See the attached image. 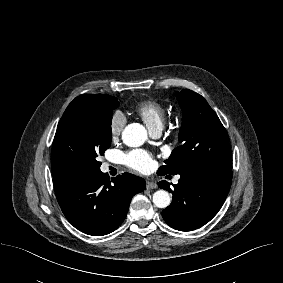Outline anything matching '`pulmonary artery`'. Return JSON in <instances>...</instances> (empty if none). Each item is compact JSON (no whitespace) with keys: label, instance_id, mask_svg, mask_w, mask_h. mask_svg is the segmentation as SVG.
<instances>
[{"label":"pulmonary artery","instance_id":"pulmonary-artery-1","mask_svg":"<svg viewBox=\"0 0 283 283\" xmlns=\"http://www.w3.org/2000/svg\"><path fill=\"white\" fill-rule=\"evenodd\" d=\"M160 134H161V129H154V130L151 131V135H152L153 137H155V138H156V137H159ZM174 182L177 183V182H178V178H176V179L174 180Z\"/></svg>","mask_w":283,"mask_h":283}]
</instances>
